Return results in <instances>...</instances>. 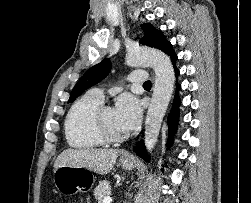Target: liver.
<instances>
[{
    "instance_id": "obj_1",
    "label": "liver",
    "mask_w": 251,
    "mask_h": 203,
    "mask_svg": "<svg viewBox=\"0 0 251 203\" xmlns=\"http://www.w3.org/2000/svg\"><path fill=\"white\" fill-rule=\"evenodd\" d=\"M118 150L66 149L56 159L54 172L62 166L84 167L97 174H108L118 156Z\"/></svg>"
}]
</instances>
